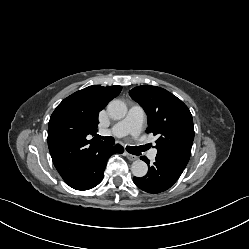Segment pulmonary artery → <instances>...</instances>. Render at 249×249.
Listing matches in <instances>:
<instances>
[{"mask_svg":"<svg viewBox=\"0 0 249 249\" xmlns=\"http://www.w3.org/2000/svg\"><path fill=\"white\" fill-rule=\"evenodd\" d=\"M145 114L144 111L138 106H132L126 117L118 122L111 130H101L102 135L114 134L117 137H122L127 134L137 135L144 123ZM157 151L152 150L149 154V158L154 160Z\"/></svg>","mask_w":249,"mask_h":249,"instance_id":"obj_1","label":"pulmonary artery"}]
</instances>
